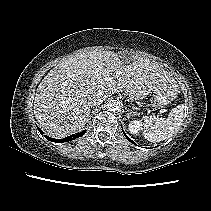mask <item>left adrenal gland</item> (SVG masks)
Masks as SVG:
<instances>
[{
  "label": "left adrenal gland",
  "mask_w": 211,
  "mask_h": 211,
  "mask_svg": "<svg viewBox=\"0 0 211 211\" xmlns=\"http://www.w3.org/2000/svg\"><path fill=\"white\" fill-rule=\"evenodd\" d=\"M129 112L127 113V118H129L131 115H135V112L132 110H128Z\"/></svg>",
  "instance_id": "left-adrenal-gland-1"
}]
</instances>
